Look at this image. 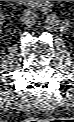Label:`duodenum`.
<instances>
[{"label": "duodenum", "instance_id": "duodenum-1", "mask_svg": "<svg viewBox=\"0 0 74 122\" xmlns=\"http://www.w3.org/2000/svg\"><path fill=\"white\" fill-rule=\"evenodd\" d=\"M21 2L24 6L28 7V8H33V1H19Z\"/></svg>", "mask_w": 74, "mask_h": 122}]
</instances>
